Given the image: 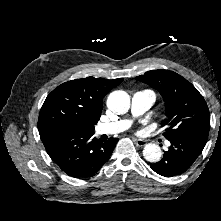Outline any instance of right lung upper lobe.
I'll return each instance as SVG.
<instances>
[{
	"label": "right lung upper lobe",
	"mask_w": 221,
	"mask_h": 221,
	"mask_svg": "<svg viewBox=\"0 0 221 221\" xmlns=\"http://www.w3.org/2000/svg\"><path fill=\"white\" fill-rule=\"evenodd\" d=\"M123 78L87 77L65 82L54 89L40 110L38 130L93 127L100 119L103 98Z\"/></svg>",
	"instance_id": "obj_1"
}]
</instances>
